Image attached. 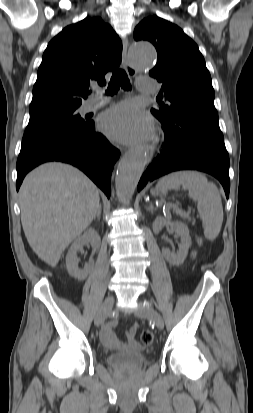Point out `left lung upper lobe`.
Segmentation results:
<instances>
[{
	"label": "left lung upper lobe",
	"instance_id": "obj_1",
	"mask_svg": "<svg viewBox=\"0 0 253 413\" xmlns=\"http://www.w3.org/2000/svg\"><path fill=\"white\" fill-rule=\"evenodd\" d=\"M134 39L150 41L158 53L157 64L149 75L162 83L159 98L165 97L167 101L151 109L161 123L186 116L218 120L205 60L182 29L158 16H150L136 26Z\"/></svg>",
	"mask_w": 253,
	"mask_h": 413
}]
</instances>
